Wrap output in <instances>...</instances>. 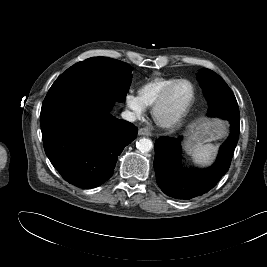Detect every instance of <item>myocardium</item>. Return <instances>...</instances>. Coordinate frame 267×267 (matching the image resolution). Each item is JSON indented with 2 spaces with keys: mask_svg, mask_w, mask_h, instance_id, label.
<instances>
[{
  "mask_svg": "<svg viewBox=\"0 0 267 267\" xmlns=\"http://www.w3.org/2000/svg\"><path fill=\"white\" fill-rule=\"evenodd\" d=\"M181 83H187L188 85H190L191 90H192V94H191V98L189 100V102L187 103V105L184 107V109L182 110V112L175 118L170 119V120H163L160 117V109L165 105V103L167 102L168 98L170 97L172 91L175 89L176 86H178ZM195 96H196V91H195V87L193 85V83L187 79H178L175 82L171 83L169 86H167L163 92L159 95V97L156 99V101L154 102L153 106H152V116L155 120V122L163 127V128H176L178 126H180L183 121L185 120L186 116L188 115L194 101H195Z\"/></svg>",
  "mask_w": 267,
  "mask_h": 267,
  "instance_id": "obj_1",
  "label": "myocardium"
}]
</instances>
